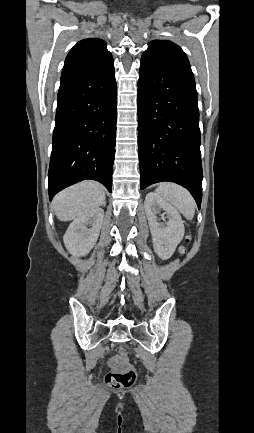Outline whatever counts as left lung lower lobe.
Segmentation results:
<instances>
[{
  "mask_svg": "<svg viewBox=\"0 0 254 433\" xmlns=\"http://www.w3.org/2000/svg\"><path fill=\"white\" fill-rule=\"evenodd\" d=\"M193 75L141 58L138 81L140 186L170 181L190 191L200 209L202 163Z\"/></svg>",
  "mask_w": 254,
  "mask_h": 433,
  "instance_id": "obj_1",
  "label": "left lung lower lobe"
}]
</instances>
